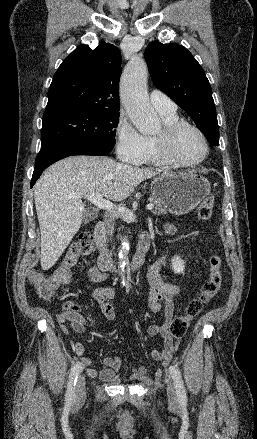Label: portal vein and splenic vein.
Here are the masks:
<instances>
[{
    "label": "portal vein and splenic vein",
    "mask_w": 257,
    "mask_h": 439,
    "mask_svg": "<svg viewBox=\"0 0 257 439\" xmlns=\"http://www.w3.org/2000/svg\"><path fill=\"white\" fill-rule=\"evenodd\" d=\"M71 198H86L87 200H89L92 204H94L95 206H97L98 208L107 210V211H111L114 209V205L113 203H111L109 200H106L103 198V196L101 194H88V195H81V194H71L70 195ZM154 208V204L153 203H149L146 206L147 210H152Z\"/></svg>",
    "instance_id": "18ae733b"
}]
</instances>
